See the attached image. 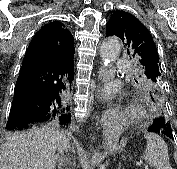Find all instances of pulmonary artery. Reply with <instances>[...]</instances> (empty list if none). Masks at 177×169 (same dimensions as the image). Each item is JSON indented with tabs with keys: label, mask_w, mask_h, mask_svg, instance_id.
Wrapping results in <instances>:
<instances>
[{
	"label": "pulmonary artery",
	"mask_w": 177,
	"mask_h": 169,
	"mask_svg": "<svg viewBox=\"0 0 177 169\" xmlns=\"http://www.w3.org/2000/svg\"><path fill=\"white\" fill-rule=\"evenodd\" d=\"M117 65L119 67H127L128 63L125 60L120 59V60L117 61Z\"/></svg>",
	"instance_id": "pulmonary-artery-1"
}]
</instances>
